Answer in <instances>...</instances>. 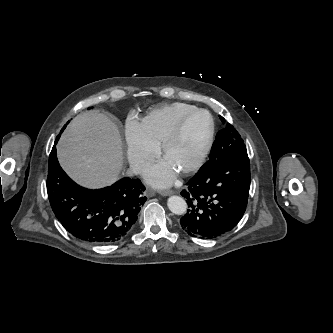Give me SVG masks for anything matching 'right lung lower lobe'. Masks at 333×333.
Returning a JSON list of instances; mask_svg holds the SVG:
<instances>
[{
	"mask_svg": "<svg viewBox=\"0 0 333 333\" xmlns=\"http://www.w3.org/2000/svg\"><path fill=\"white\" fill-rule=\"evenodd\" d=\"M59 138L60 135L55 143ZM144 190L139 179L129 177L102 189L83 188L60 167L55 146L50 153L47 177L50 205L63 227L79 240L103 245L127 235L147 199Z\"/></svg>",
	"mask_w": 333,
	"mask_h": 333,
	"instance_id": "1",
	"label": "right lung lower lobe"
}]
</instances>
